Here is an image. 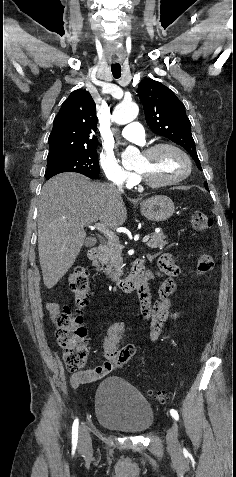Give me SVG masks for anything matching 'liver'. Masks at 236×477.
I'll return each instance as SVG.
<instances>
[{"instance_id":"obj_1","label":"liver","mask_w":236,"mask_h":477,"mask_svg":"<svg viewBox=\"0 0 236 477\" xmlns=\"http://www.w3.org/2000/svg\"><path fill=\"white\" fill-rule=\"evenodd\" d=\"M127 218L121 192L77 173H62L42 187L38 206V252L43 281L54 287L75 262L86 238L84 227L108 228Z\"/></svg>"}]
</instances>
